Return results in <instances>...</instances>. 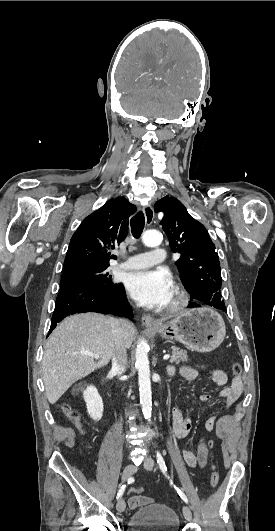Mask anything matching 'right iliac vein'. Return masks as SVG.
<instances>
[{"mask_svg":"<svg viewBox=\"0 0 275 531\" xmlns=\"http://www.w3.org/2000/svg\"><path fill=\"white\" fill-rule=\"evenodd\" d=\"M136 472V467L134 464L130 463L126 465L124 468L123 474H122V480L126 481L128 480L134 473ZM126 504L122 498H120L117 502V510L119 513H123L125 511Z\"/></svg>","mask_w":275,"mask_h":531,"instance_id":"63e3f726","label":"right iliac vein"}]
</instances>
